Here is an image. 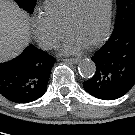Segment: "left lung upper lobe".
Listing matches in <instances>:
<instances>
[{"label": "left lung upper lobe", "mask_w": 135, "mask_h": 135, "mask_svg": "<svg viewBox=\"0 0 135 135\" xmlns=\"http://www.w3.org/2000/svg\"><path fill=\"white\" fill-rule=\"evenodd\" d=\"M117 17L112 35L126 31L135 22V0H116Z\"/></svg>", "instance_id": "1"}]
</instances>
